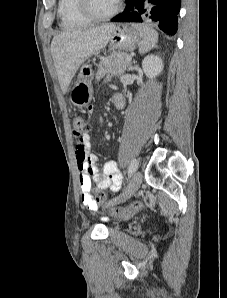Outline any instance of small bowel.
I'll use <instances>...</instances> for the list:
<instances>
[{"instance_id": "c3829d8e", "label": "small bowel", "mask_w": 227, "mask_h": 298, "mask_svg": "<svg viewBox=\"0 0 227 298\" xmlns=\"http://www.w3.org/2000/svg\"><path fill=\"white\" fill-rule=\"evenodd\" d=\"M115 97L121 98L124 102L120 94H115L113 99ZM85 111L88 115L94 114L91 104L85 105ZM90 148L89 136H86L84 151L81 153L76 150V161L82 202L90 211L96 212L98 205L91 192L92 181H94L98 189H111L113 192H117L122 185V174L117 170L116 163L112 160L107 161L102 171H100L96 164L98 158L90 152Z\"/></svg>"}]
</instances>
